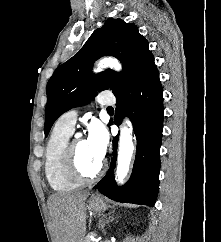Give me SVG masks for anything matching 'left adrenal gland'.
<instances>
[{
	"mask_svg": "<svg viewBox=\"0 0 221 242\" xmlns=\"http://www.w3.org/2000/svg\"><path fill=\"white\" fill-rule=\"evenodd\" d=\"M106 217H102V219L99 221L100 222V225L103 229V233L105 234V230H104V227L106 224H108L109 222H112L115 218L113 216H109L107 219H105Z\"/></svg>",
	"mask_w": 221,
	"mask_h": 242,
	"instance_id": "a2214340",
	"label": "left adrenal gland"
}]
</instances>
